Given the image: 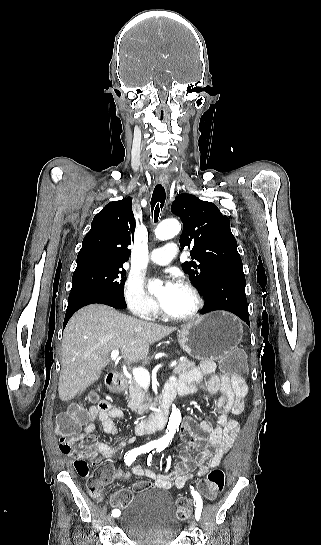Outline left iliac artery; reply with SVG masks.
I'll use <instances>...</instances> for the list:
<instances>
[{
  "instance_id": "obj_1",
  "label": "left iliac artery",
  "mask_w": 321,
  "mask_h": 545,
  "mask_svg": "<svg viewBox=\"0 0 321 545\" xmlns=\"http://www.w3.org/2000/svg\"><path fill=\"white\" fill-rule=\"evenodd\" d=\"M163 449H164L163 446H157V451L158 452H161ZM151 460H152V455L150 454L149 457H148V460H147L148 465H150ZM192 494H193V496L195 498V501H196L195 518L197 520H199V518L201 516V512H202V500H201L200 495H198V493H196L194 490H192Z\"/></svg>"
}]
</instances>
